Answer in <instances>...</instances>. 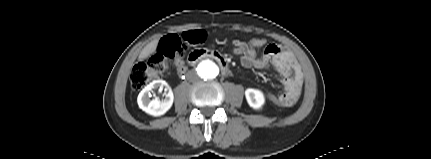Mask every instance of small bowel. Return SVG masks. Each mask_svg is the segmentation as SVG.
Masks as SVG:
<instances>
[{
    "label": "small bowel",
    "instance_id": "c3829d8e",
    "mask_svg": "<svg viewBox=\"0 0 431 159\" xmlns=\"http://www.w3.org/2000/svg\"><path fill=\"white\" fill-rule=\"evenodd\" d=\"M232 44L233 47H244V54L237 56L245 68L273 69L276 72L284 92L271 100L274 106H292L297 102L301 94L303 75L291 52L280 45L269 44L265 38H254L249 42L236 39ZM260 49L262 52L258 54ZM177 69L179 72L186 70L183 60H177Z\"/></svg>",
    "mask_w": 431,
    "mask_h": 159
}]
</instances>
